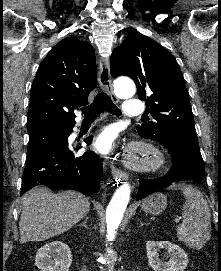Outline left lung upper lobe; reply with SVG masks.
Segmentation results:
<instances>
[{
  "instance_id": "1",
  "label": "left lung upper lobe",
  "mask_w": 221,
  "mask_h": 271,
  "mask_svg": "<svg viewBox=\"0 0 221 271\" xmlns=\"http://www.w3.org/2000/svg\"><path fill=\"white\" fill-rule=\"evenodd\" d=\"M111 75L129 76L155 120L137 126L140 136L174 142L199 154L189 94L176 59L151 38L135 33L111 55ZM148 104V105H147Z\"/></svg>"
}]
</instances>
